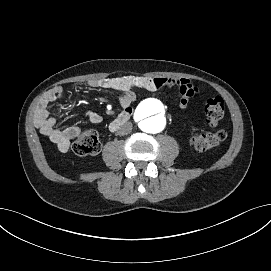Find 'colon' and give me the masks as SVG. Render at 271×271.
Masks as SVG:
<instances>
[{"label":"colon","mask_w":271,"mask_h":271,"mask_svg":"<svg viewBox=\"0 0 271 271\" xmlns=\"http://www.w3.org/2000/svg\"><path fill=\"white\" fill-rule=\"evenodd\" d=\"M225 107L221 97L216 96L207 100L205 117L207 124L213 128L211 132L194 134L190 138L191 145L198 151L211 149L219 145L226 138L223 129L215 127L224 117ZM101 149L98 133L93 129H84L72 144V150L79 156L95 155Z\"/></svg>","instance_id":"colon-1"}]
</instances>
